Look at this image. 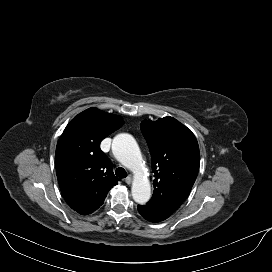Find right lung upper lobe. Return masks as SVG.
<instances>
[{"label":"right lung upper lobe","instance_id":"obj_1","mask_svg":"<svg viewBox=\"0 0 272 272\" xmlns=\"http://www.w3.org/2000/svg\"><path fill=\"white\" fill-rule=\"evenodd\" d=\"M123 124L120 116L89 108L70 121L58 140L59 186L67 204L81 215L98 209L119 181L100 142Z\"/></svg>","mask_w":272,"mask_h":272}]
</instances>
